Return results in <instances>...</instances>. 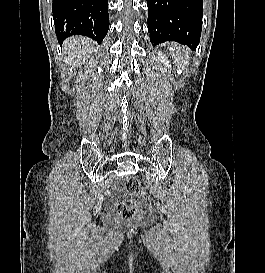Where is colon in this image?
I'll list each match as a JSON object with an SVG mask.
<instances>
[{"mask_svg":"<svg viewBox=\"0 0 265 273\" xmlns=\"http://www.w3.org/2000/svg\"><path fill=\"white\" fill-rule=\"evenodd\" d=\"M128 196L118 205V214L121 219L137 220L143 214L146 204V194L136 177H130L126 181Z\"/></svg>","mask_w":265,"mask_h":273,"instance_id":"obj_1","label":"colon"}]
</instances>
